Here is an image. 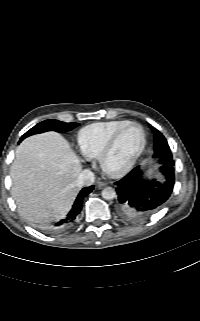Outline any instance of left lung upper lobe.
Returning <instances> with one entry per match:
<instances>
[{
    "label": "left lung upper lobe",
    "instance_id": "left-lung-upper-lobe-1",
    "mask_svg": "<svg viewBox=\"0 0 200 321\" xmlns=\"http://www.w3.org/2000/svg\"><path fill=\"white\" fill-rule=\"evenodd\" d=\"M152 130L154 132V139H155L154 158H157L160 160L171 153L170 147L165 137L157 129H152Z\"/></svg>",
    "mask_w": 200,
    "mask_h": 321
}]
</instances>
